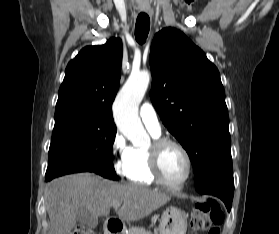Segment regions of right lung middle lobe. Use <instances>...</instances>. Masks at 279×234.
Returning <instances> with one entry per match:
<instances>
[{"mask_svg":"<svg viewBox=\"0 0 279 234\" xmlns=\"http://www.w3.org/2000/svg\"><path fill=\"white\" fill-rule=\"evenodd\" d=\"M115 135L114 122L98 116L81 112L55 114L45 177L68 165H84L91 172L118 180L112 157Z\"/></svg>","mask_w":279,"mask_h":234,"instance_id":"right-lung-middle-lobe-1","label":"right lung middle lobe"}]
</instances>
